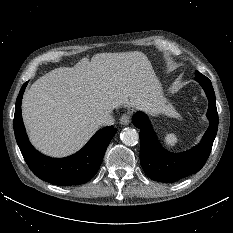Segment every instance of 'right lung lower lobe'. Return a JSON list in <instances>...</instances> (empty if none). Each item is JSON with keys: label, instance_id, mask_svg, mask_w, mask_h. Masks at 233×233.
I'll return each mask as SVG.
<instances>
[{"label": "right lung lower lobe", "instance_id": "obj_1", "mask_svg": "<svg viewBox=\"0 0 233 233\" xmlns=\"http://www.w3.org/2000/svg\"><path fill=\"white\" fill-rule=\"evenodd\" d=\"M27 82L23 84L16 100L14 133L21 153L32 172L40 179L60 186L80 185L97 173L105 151L117 129L113 126L97 131L88 143L74 155L56 159L39 153L31 145L21 116V100Z\"/></svg>", "mask_w": 233, "mask_h": 233}]
</instances>
